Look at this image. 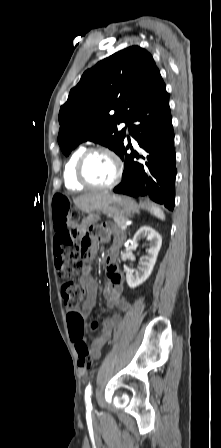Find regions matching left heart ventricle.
<instances>
[{
  "label": "left heart ventricle",
  "instance_id": "b2bd125f",
  "mask_svg": "<svg viewBox=\"0 0 221 448\" xmlns=\"http://www.w3.org/2000/svg\"><path fill=\"white\" fill-rule=\"evenodd\" d=\"M84 172L93 184L106 185L115 176V164L108 155L95 154L87 160Z\"/></svg>",
  "mask_w": 221,
  "mask_h": 448
}]
</instances>
